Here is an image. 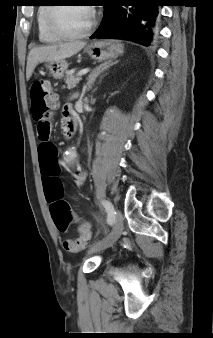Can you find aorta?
I'll return each instance as SVG.
<instances>
[{
    "label": "aorta",
    "mask_w": 213,
    "mask_h": 338,
    "mask_svg": "<svg viewBox=\"0 0 213 338\" xmlns=\"http://www.w3.org/2000/svg\"><path fill=\"white\" fill-rule=\"evenodd\" d=\"M74 158H75V154L73 152H70L69 155H68V157H67V162L69 164H72L73 161H74Z\"/></svg>",
    "instance_id": "obj_1"
}]
</instances>
